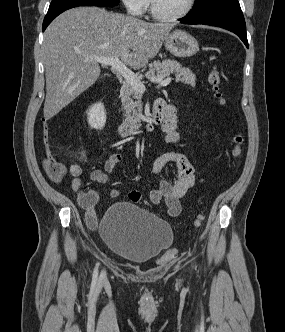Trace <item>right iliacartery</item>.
<instances>
[{
  "mask_svg": "<svg viewBox=\"0 0 285 332\" xmlns=\"http://www.w3.org/2000/svg\"><path fill=\"white\" fill-rule=\"evenodd\" d=\"M98 266L99 264L97 263L93 272V280H97V276H98Z\"/></svg>",
  "mask_w": 285,
  "mask_h": 332,
  "instance_id": "82829eb1",
  "label": "right iliac artery"
}]
</instances>
